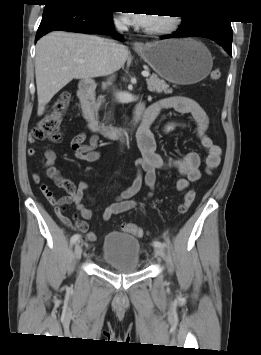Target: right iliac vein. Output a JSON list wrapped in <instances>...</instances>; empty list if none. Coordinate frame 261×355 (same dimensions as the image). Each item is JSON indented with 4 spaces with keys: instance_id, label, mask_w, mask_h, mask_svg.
I'll use <instances>...</instances> for the list:
<instances>
[{
    "instance_id": "right-iliac-vein-1",
    "label": "right iliac vein",
    "mask_w": 261,
    "mask_h": 355,
    "mask_svg": "<svg viewBox=\"0 0 261 355\" xmlns=\"http://www.w3.org/2000/svg\"><path fill=\"white\" fill-rule=\"evenodd\" d=\"M82 255V246L80 245V243L78 242L76 245H75V257L77 259H79Z\"/></svg>"
}]
</instances>
